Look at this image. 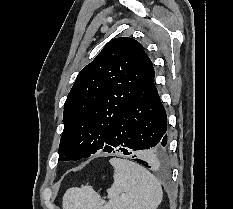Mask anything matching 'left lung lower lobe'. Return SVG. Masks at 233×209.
<instances>
[{
  "mask_svg": "<svg viewBox=\"0 0 233 209\" xmlns=\"http://www.w3.org/2000/svg\"><path fill=\"white\" fill-rule=\"evenodd\" d=\"M167 116L154 85L153 66L144 76L128 105L112 125L103 148L104 152L144 150V160L134 161L151 168L166 162ZM136 157V155H134Z\"/></svg>",
  "mask_w": 233,
  "mask_h": 209,
  "instance_id": "0a47b994",
  "label": "left lung lower lobe"
}]
</instances>
